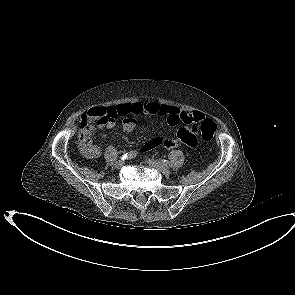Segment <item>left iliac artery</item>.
<instances>
[{
	"instance_id": "1",
	"label": "left iliac artery",
	"mask_w": 295,
	"mask_h": 295,
	"mask_svg": "<svg viewBox=\"0 0 295 295\" xmlns=\"http://www.w3.org/2000/svg\"><path fill=\"white\" fill-rule=\"evenodd\" d=\"M160 163H161L162 165H165V166H169V165H170V162L167 161V160H165V159L160 160Z\"/></svg>"
}]
</instances>
